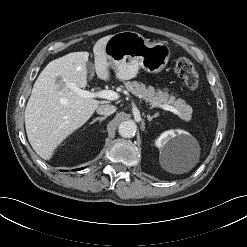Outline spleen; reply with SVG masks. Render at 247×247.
I'll use <instances>...</instances> for the list:
<instances>
[{
	"instance_id": "1",
	"label": "spleen",
	"mask_w": 247,
	"mask_h": 247,
	"mask_svg": "<svg viewBox=\"0 0 247 247\" xmlns=\"http://www.w3.org/2000/svg\"><path fill=\"white\" fill-rule=\"evenodd\" d=\"M185 170L184 169H179L178 172L182 173L184 172Z\"/></svg>"
}]
</instances>
